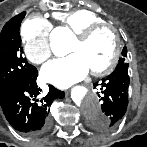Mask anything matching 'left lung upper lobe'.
<instances>
[{
	"mask_svg": "<svg viewBox=\"0 0 147 147\" xmlns=\"http://www.w3.org/2000/svg\"><path fill=\"white\" fill-rule=\"evenodd\" d=\"M126 57H127V48L124 47L122 51V57L119 59V63L116 68L122 67V66H128L126 62Z\"/></svg>",
	"mask_w": 147,
	"mask_h": 147,
	"instance_id": "obj_1",
	"label": "left lung upper lobe"
}]
</instances>
